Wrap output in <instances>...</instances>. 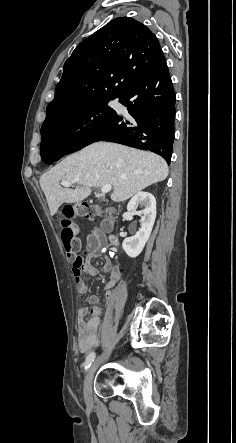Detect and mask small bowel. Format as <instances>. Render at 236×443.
Instances as JSON below:
<instances>
[{"label": "small bowel", "instance_id": "c3829d8e", "mask_svg": "<svg viewBox=\"0 0 236 443\" xmlns=\"http://www.w3.org/2000/svg\"><path fill=\"white\" fill-rule=\"evenodd\" d=\"M86 247L88 256L83 262L81 269L72 268L75 278L77 290L84 294L88 291V283L83 279L82 273L91 276H97L99 269L93 265L92 259L103 258V271H110V280L105 284L106 299L111 301L115 298L117 290H113L122 276V270L118 266H113L110 259L105 255L106 239L98 229H91L87 236ZM89 306L82 307L79 310V327H78V349L82 353L89 352L99 344V325L101 309L97 306L100 297L91 295L88 297ZM87 316H90L87 318Z\"/></svg>", "mask_w": 236, "mask_h": 443}]
</instances>
